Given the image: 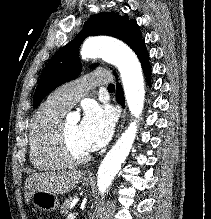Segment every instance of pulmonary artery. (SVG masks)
<instances>
[{
    "label": "pulmonary artery",
    "instance_id": "obj_1",
    "mask_svg": "<svg viewBox=\"0 0 211 219\" xmlns=\"http://www.w3.org/2000/svg\"><path fill=\"white\" fill-rule=\"evenodd\" d=\"M110 79V73L106 71L86 73L78 79L70 81L59 87L50 96V99L58 105L69 109L81 97H83L90 88L99 84L109 83Z\"/></svg>",
    "mask_w": 211,
    "mask_h": 219
}]
</instances>
